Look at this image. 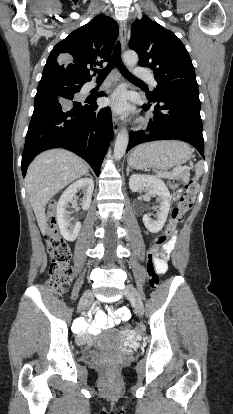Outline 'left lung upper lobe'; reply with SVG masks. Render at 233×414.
Returning a JSON list of instances; mask_svg holds the SVG:
<instances>
[{"label":"left lung upper lobe","mask_w":233,"mask_h":414,"mask_svg":"<svg viewBox=\"0 0 233 414\" xmlns=\"http://www.w3.org/2000/svg\"><path fill=\"white\" fill-rule=\"evenodd\" d=\"M129 46L137 52L139 65L154 71L158 85L149 98L168 91L198 90L191 58L171 31L143 16L132 25Z\"/></svg>","instance_id":"5c2ea615"}]
</instances>
